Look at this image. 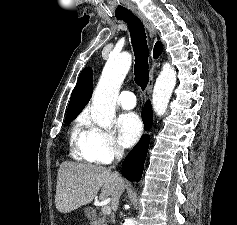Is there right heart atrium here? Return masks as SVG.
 Here are the masks:
<instances>
[{"label": "right heart atrium", "mask_w": 237, "mask_h": 225, "mask_svg": "<svg viewBox=\"0 0 237 225\" xmlns=\"http://www.w3.org/2000/svg\"><path fill=\"white\" fill-rule=\"evenodd\" d=\"M85 130L82 149L91 162L109 164L123 155V149L117 138L105 131L87 117H84Z\"/></svg>", "instance_id": "right-heart-atrium-1"}]
</instances>
